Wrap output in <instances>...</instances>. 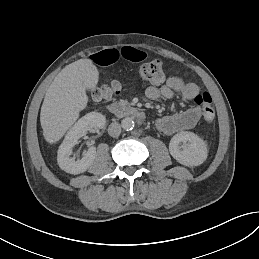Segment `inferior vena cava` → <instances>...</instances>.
Instances as JSON below:
<instances>
[{"instance_id": "602c4592", "label": "inferior vena cava", "mask_w": 259, "mask_h": 259, "mask_svg": "<svg viewBox=\"0 0 259 259\" xmlns=\"http://www.w3.org/2000/svg\"><path fill=\"white\" fill-rule=\"evenodd\" d=\"M121 133V126L120 124L114 122V123H111L108 127V134L111 136V137H118Z\"/></svg>"}]
</instances>
